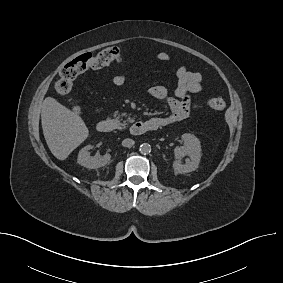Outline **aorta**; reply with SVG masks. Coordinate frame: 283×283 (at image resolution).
Wrapping results in <instances>:
<instances>
[{"instance_id": "1", "label": "aorta", "mask_w": 283, "mask_h": 283, "mask_svg": "<svg viewBox=\"0 0 283 283\" xmlns=\"http://www.w3.org/2000/svg\"><path fill=\"white\" fill-rule=\"evenodd\" d=\"M139 151H140L141 154H144V155L150 153V152H151V146H150V144H148V143H142V144L139 146Z\"/></svg>"}]
</instances>
